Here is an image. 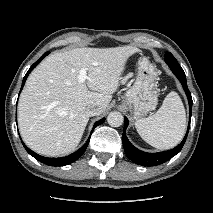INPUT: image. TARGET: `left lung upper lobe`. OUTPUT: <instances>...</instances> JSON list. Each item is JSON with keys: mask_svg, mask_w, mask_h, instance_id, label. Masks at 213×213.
Listing matches in <instances>:
<instances>
[{"mask_svg": "<svg viewBox=\"0 0 213 213\" xmlns=\"http://www.w3.org/2000/svg\"><path fill=\"white\" fill-rule=\"evenodd\" d=\"M165 62L168 64V66L170 67V69L176 76L186 77L183 69L181 68V66L178 64L177 60L175 59V57L170 52H167L165 54Z\"/></svg>", "mask_w": 213, "mask_h": 213, "instance_id": "1", "label": "left lung upper lobe"}]
</instances>
